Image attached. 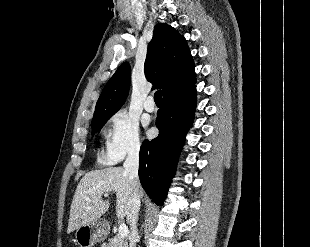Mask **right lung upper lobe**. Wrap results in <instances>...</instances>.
<instances>
[{
  "instance_id": "right-lung-upper-lobe-1",
  "label": "right lung upper lobe",
  "mask_w": 310,
  "mask_h": 247,
  "mask_svg": "<svg viewBox=\"0 0 310 247\" xmlns=\"http://www.w3.org/2000/svg\"><path fill=\"white\" fill-rule=\"evenodd\" d=\"M194 62L185 38L172 26L158 23L147 49L144 72L162 89L163 97L195 82ZM131 70L123 63L104 87L95 108L92 122L114 115L124 104L130 88Z\"/></svg>"
}]
</instances>
